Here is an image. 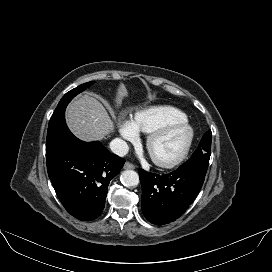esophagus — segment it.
Returning <instances> with one entry per match:
<instances>
[{
    "label": "esophagus",
    "instance_id": "1",
    "mask_svg": "<svg viewBox=\"0 0 272 272\" xmlns=\"http://www.w3.org/2000/svg\"><path fill=\"white\" fill-rule=\"evenodd\" d=\"M135 168H136L135 165H133V164H131L129 162H126L124 164V169H135Z\"/></svg>",
    "mask_w": 272,
    "mask_h": 272
}]
</instances>
